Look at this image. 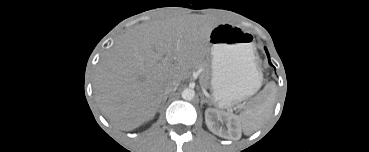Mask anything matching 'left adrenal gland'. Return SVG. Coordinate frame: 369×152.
<instances>
[{"mask_svg":"<svg viewBox=\"0 0 369 152\" xmlns=\"http://www.w3.org/2000/svg\"><path fill=\"white\" fill-rule=\"evenodd\" d=\"M203 103L209 104V101L202 95L201 96V104H203Z\"/></svg>","mask_w":369,"mask_h":152,"instance_id":"left-adrenal-gland-1","label":"left adrenal gland"}]
</instances>
